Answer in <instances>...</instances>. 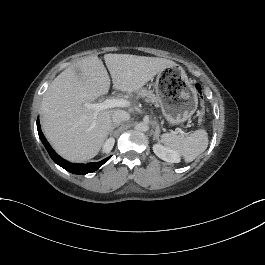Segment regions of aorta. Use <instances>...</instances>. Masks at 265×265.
<instances>
[{
  "mask_svg": "<svg viewBox=\"0 0 265 265\" xmlns=\"http://www.w3.org/2000/svg\"><path fill=\"white\" fill-rule=\"evenodd\" d=\"M135 129L140 132H146L148 131L149 126L144 122H140L135 126Z\"/></svg>",
  "mask_w": 265,
  "mask_h": 265,
  "instance_id": "1",
  "label": "aorta"
}]
</instances>
